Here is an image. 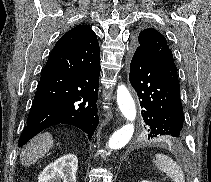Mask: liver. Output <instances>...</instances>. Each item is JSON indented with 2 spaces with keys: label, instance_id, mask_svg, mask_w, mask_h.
I'll return each mask as SVG.
<instances>
[{
  "label": "liver",
  "instance_id": "liver-1",
  "mask_svg": "<svg viewBox=\"0 0 211 182\" xmlns=\"http://www.w3.org/2000/svg\"><path fill=\"white\" fill-rule=\"evenodd\" d=\"M54 145L50 133L39 134L22 150L20 160L22 165L29 166L42 158Z\"/></svg>",
  "mask_w": 211,
  "mask_h": 182
}]
</instances>
